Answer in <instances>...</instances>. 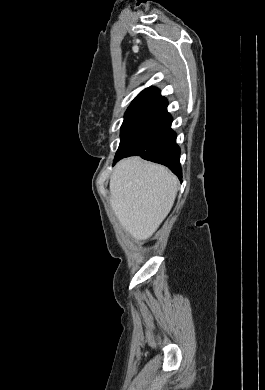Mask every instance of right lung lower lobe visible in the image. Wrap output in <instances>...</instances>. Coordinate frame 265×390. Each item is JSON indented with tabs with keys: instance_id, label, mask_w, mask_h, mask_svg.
Instances as JSON below:
<instances>
[{
	"instance_id": "right-lung-lower-lobe-1",
	"label": "right lung lower lobe",
	"mask_w": 265,
	"mask_h": 390,
	"mask_svg": "<svg viewBox=\"0 0 265 390\" xmlns=\"http://www.w3.org/2000/svg\"><path fill=\"white\" fill-rule=\"evenodd\" d=\"M167 105L162 97L136 117L121 138L114 164L124 157L139 155L167 166L182 178L180 148L176 144V133L171 129L172 117Z\"/></svg>"
}]
</instances>
